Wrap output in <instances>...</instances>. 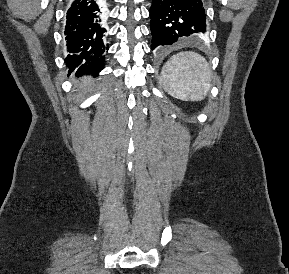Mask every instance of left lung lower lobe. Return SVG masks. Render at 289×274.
Wrapping results in <instances>:
<instances>
[{
	"label": "left lung lower lobe",
	"mask_w": 289,
	"mask_h": 274,
	"mask_svg": "<svg viewBox=\"0 0 289 274\" xmlns=\"http://www.w3.org/2000/svg\"><path fill=\"white\" fill-rule=\"evenodd\" d=\"M152 50L200 39L207 32L202 0H152Z\"/></svg>",
	"instance_id": "obj_1"
}]
</instances>
